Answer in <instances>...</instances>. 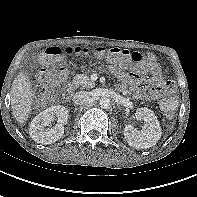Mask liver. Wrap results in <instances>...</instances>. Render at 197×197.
<instances>
[{"instance_id":"6515ba94","label":"liver","mask_w":197,"mask_h":197,"mask_svg":"<svg viewBox=\"0 0 197 197\" xmlns=\"http://www.w3.org/2000/svg\"><path fill=\"white\" fill-rule=\"evenodd\" d=\"M32 89L31 81L24 72H20L11 87L12 115L18 123H25L31 112Z\"/></svg>"}]
</instances>
